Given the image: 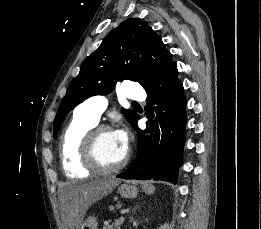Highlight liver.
Here are the masks:
<instances>
[{
    "mask_svg": "<svg viewBox=\"0 0 261 229\" xmlns=\"http://www.w3.org/2000/svg\"><path fill=\"white\" fill-rule=\"evenodd\" d=\"M120 179L113 177H103L95 179L89 183H73L66 189L65 201H68L64 213L68 229H80L84 219L85 211L91 207L92 203L100 201L113 193L114 189L120 185Z\"/></svg>",
    "mask_w": 261,
    "mask_h": 229,
    "instance_id": "obj_1",
    "label": "liver"
}]
</instances>
